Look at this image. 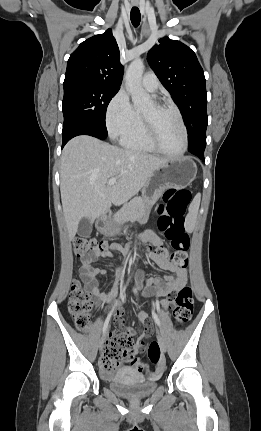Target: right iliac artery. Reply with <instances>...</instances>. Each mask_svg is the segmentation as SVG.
Wrapping results in <instances>:
<instances>
[{"instance_id": "1", "label": "right iliac artery", "mask_w": 261, "mask_h": 431, "mask_svg": "<svg viewBox=\"0 0 261 431\" xmlns=\"http://www.w3.org/2000/svg\"><path fill=\"white\" fill-rule=\"evenodd\" d=\"M128 282H129V280H128ZM128 282H127V284H128ZM127 284L121 289V291H120V298H123L124 297V294H125V290H126V286H127ZM117 303H118V301H116L115 302V304H114V306H113V308H112V310L110 311V313L108 314V316H107V318H106V320H105V322H104V325H103V334L106 332V330H107V327H108V324H109V321H110V318H111V315H112V313H113V310H114V308L117 306Z\"/></svg>"}]
</instances>
